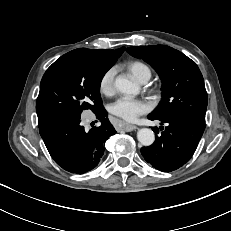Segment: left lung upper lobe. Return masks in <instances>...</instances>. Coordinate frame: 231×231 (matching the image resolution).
Listing matches in <instances>:
<instances>
[{
  "label": "left lung upper lobe",
  "mask_w": 231,
  "mask_h": 231,
  "mask_svg": "<svg viewBox=\"0 0 231 231\" xmlns=\"http://www.w3.org/2000/svg\"><path fill=\"white\" fill-rule=\"evenodd\" d=\"M126 51L150 64L162 80V99L151 116L160 119L183 116L205 123L207 93L193 60L163 45L130 47Z\"/></svg>",
  "instance_id": "obj_1"
}]
</instances>
